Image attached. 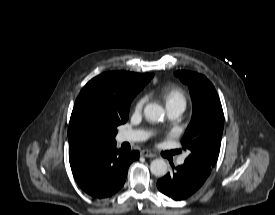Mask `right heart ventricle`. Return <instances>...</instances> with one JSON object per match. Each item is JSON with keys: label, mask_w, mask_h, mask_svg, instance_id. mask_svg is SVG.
I'll use <instances>...</instances> for the list:
<instances>
[{"label": "right heart ventricle", "mask_w": 275, "mask_h": 215, "mask_svg": "<svg viewBox=\"0 0 275 215\" xmlns=\"http://www.w3.org/2000/svg\"><path fill=\"white\" fill-rule=\"evenodd\" d=\"M160 96L165 102L167 108L183 105L186 106V96L182 89L179 87H167L161 90Z\"/></svg>", "instance_id": "e07e8e85"}]
</instances>
